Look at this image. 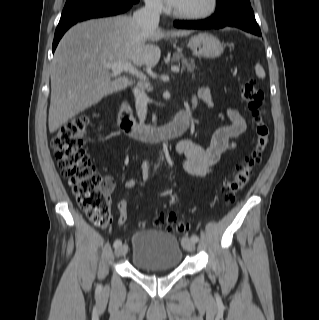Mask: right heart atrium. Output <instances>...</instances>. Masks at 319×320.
<instances>
[{"mask_svg":"<svg viewBox=\"0 0 319 320\" xmlns=\"http://www.w3.org/2000/svg\"><path fill=\"white\" fill-rule=\"evenodd\" d=\"M145 4L153 12H161L164 9L162 0H145Z\"/></svg>","mask_w":319,"mask_h":320,"instance_id":"d8ad5b80","label":"right heart atrium"}]
</instances>
